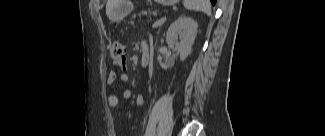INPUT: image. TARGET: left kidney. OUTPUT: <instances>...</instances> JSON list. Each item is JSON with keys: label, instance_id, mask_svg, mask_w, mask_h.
Segmentation results:
<instances>
[{"label": "left kidney", "instance_id": "5707ae66", "mask_svg": "<svg viewBox=\"0 0 325 136\" xmlns=\"http://www.w3.org/2000/svg\"><path fill=\"white\" fill-rule=\"evenodd\" d=\"M197 29V22L191 17L185 16H180L168 28L166 42L180 53L181 61H184L191 53Z\"/></svg>", "mask_w": 325, "mask_h": 136}]
</instances>
